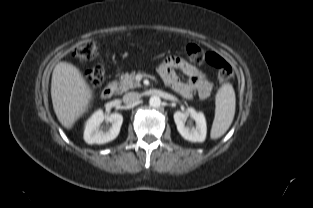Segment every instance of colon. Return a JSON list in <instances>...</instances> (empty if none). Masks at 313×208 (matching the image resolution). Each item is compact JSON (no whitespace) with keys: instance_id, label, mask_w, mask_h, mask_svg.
Masks as SVG:
<instances>
[{"instance_id":"5ec220e1","label":"colon","mask_w":313,"mask_h":208,"mask_svg":"<svg viewBox=\"0 0 313 208\" xmlns=\"http://www.w3.org/2000/svg\"><path fill=\"white\" fill-rule=\"evenodd\" d=\"M75 56L81 61L94 59L98 54V46L94 41H87L79 45L74 52ZM188 58L196 63L207 62L218 72V79L221 82H227L233 77L232 67L218 54L213 52H204L199 46L189 44L186 47ZM87 78L93 86H99L104 81V69L102 66H95L87 72Z\"/></svg>"}]
</instances>
